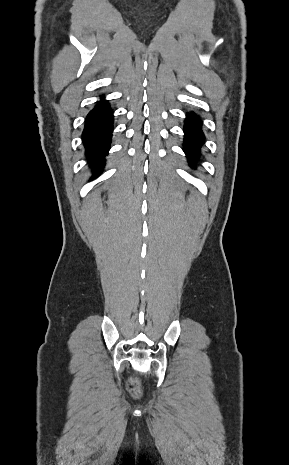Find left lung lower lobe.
<instances>
[{
	"mask_svg": "<svg viewBox=\"0 0 289 465\" xmlns=\"http://www.w3.org/2000/svg\"><path fill=\"white\" fill-rule=\"evenodd\" d=\"M184 133V152L190 161V165L194 166L195 160L200 155V147L204 142V135L201 130V121L196 114L190 113L187 115Z\"/></svg>",
	"mask_w": 289,
	"mask_h": 465,
	"instance_id": "0a47b994",
	"label": "left lung lower lobe"
}]
</instances>
